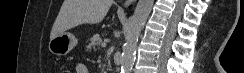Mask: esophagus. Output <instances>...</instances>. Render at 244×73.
<instances>
[{
	"label": "esophagus",
	"instance_id": "34e87169",
	"mask_svg": "<svg viewBox=\"0 0 244 73\" xmlns=\"http://www.w3.org/2000/svg\"><path fill=\"white\" fill-rule=\"evenodd\" d=\"M135 0H127L126 2H125V7H127V6H129L132 2H134Z\"/></svg>",
	"mask_w": 244,
	"mask_h": 73
}]
</instances>
